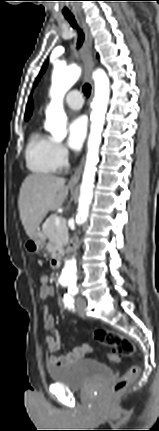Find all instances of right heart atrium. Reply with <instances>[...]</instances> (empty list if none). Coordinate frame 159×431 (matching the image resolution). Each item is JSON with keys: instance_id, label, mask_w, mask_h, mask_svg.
Segmentation results:
<instances>
[{"instance_id": "obj_1", "label": "right heart atrium", "mask_w": 159, "mask_h": 431, "mask_svg": "<svg viewBox=\"0 0 159 431\" xmlns=\"http://www.w3.org/2000/svg\"><path fill=\"white\" fill-rule=\"evenodd\" d=\"M53 158L58 168L64 167L68 162V151L60 142H52Z\"/></svg>"}]
</instances>
